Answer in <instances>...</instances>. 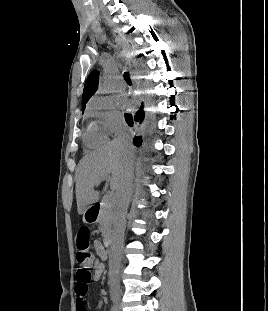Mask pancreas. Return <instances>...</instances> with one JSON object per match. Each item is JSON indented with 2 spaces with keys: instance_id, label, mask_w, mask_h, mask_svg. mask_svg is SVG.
I'll return each mask as SVG.
<instances>
[{
  "instance_id": "cf45deb5",
  "label": "pancreas",
  "mask_w": 268,
  "mask_h": 311,
  "mask_svg": "<svg viewBox=\"0 0 268 311\" xmlns=\"http://www.w3.org/2000/svg\"><path fill=\"white\" fill-rule=\"evenodd\" d=\"M113 202L107 200L102 206L100 216L98 218V223L100 226V231L104 239L108 238L111 232L112 219H113Z\"/></svg>"
}]
</instances>
